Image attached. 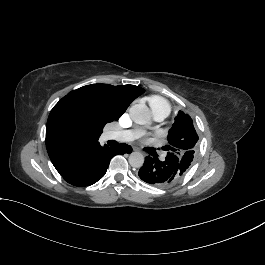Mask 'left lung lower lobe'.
I'll list each match as a JSON object with an SVG mask.
<instances>
[{"instance_id":"left-lung-lower-lobe-1","label":"left lung lower lobe","mask_w":265,"mask_h":265,"mask_svg":"<svg viewBox=\"0 0 265 265\" xmlns=\"http://www.w3.org/2000/svg\"><path fill=\"white\" fill-rule=\"evenodd\" d=\"M138 175L144 182L154 186H168L179 181L183 176V166L177 156L167 154L164 161L158 157H145Z\"/></svg>"}]
</instances>
